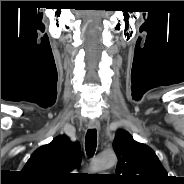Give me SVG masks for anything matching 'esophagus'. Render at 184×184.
I'll list each match as a JSON object with an SVG mask.
<instances>
[{"label":"esophagus","mask_w":184,"mask_h":184,"mask_svg":"<svg viewBox=\"0 0 184 184\" xmlns=\"http://www.w3.org/2000/svg\"><path fill=\"white\" fill-rule=\"evenodd\" d=\"M88 127L90 129H99L100 128V124L97 120H91L88 124Z\"/></svg>","instance_id":"esophagus-1"}]
</instances>
